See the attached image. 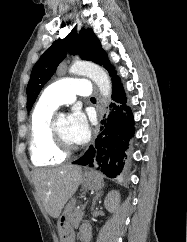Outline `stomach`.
<instances>
[{
  "label": "stomach",
  "mask_w": 187,
  "mask_h": 242,
  "mask_svg": "<svg viewBox=\"0 0 187 242\" xmlns=\"http://www.w3.org/2000/svg\"><path fill=\"white\" fill-rule=\"evenodd\" d=\"M81 183L87 190H99L104 186L101 175L93 170L85 171L81 177ZM74 208L75 199H71L57 221L60 242H74Z\"/></svg>",
  "instance_id": "0dacf381"
}]
</instances>
